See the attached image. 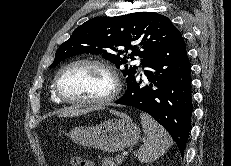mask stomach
I'll return each instance as SVG.
<instances>
[{"instance_id": "1", "label": "stomach", "mask_w": 231, "mask_h": 166, "mask_svg": "<svg viewBox=\"0 0 231 166\" xmlns=\"http://www.w3.org/2000/svg\"><path fill=\"white\" fill-rule=\"evenodd\" d=\"M70 139L83 146L114 153L135 145L140 138V128L125 114L95 126H78L68 133Z\"/></svg>"}]
</instances>
